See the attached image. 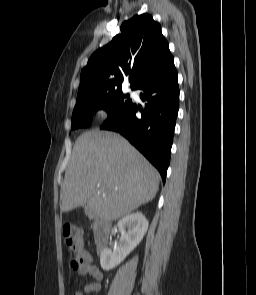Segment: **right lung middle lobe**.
I'll use <instances>...</instances> for the list:
<instances>
[{"label": "right lung middle lobe", "mask_w": 256, "mask_h": 295, "mask_svg": "<svg viewBox=\"0 0 256 295\" xmlns=\"http://www.w3.org/2000/svg\"><path fill=\"white\" fill-rule=\"evenodd\" d=\"M125 98H129V94L77 100L72 114L71 129L88 127L93 113L99 109L106 110L109 113L108 118L122 114L132 105L131 100Z\"/></svg>", "instance_id": "dd1d6c3e"}]
</instances>
